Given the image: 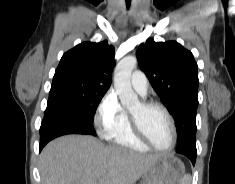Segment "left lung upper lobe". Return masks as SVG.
<instances>
[{
  "instance_id": "left-lung-upper-lobe-1",
  "label": "left lung upper lobe",
  "mask_w": 235,
  "mask_h": 184,
  "mask_svg": "<svg viewBox=\"0 0 235 184\" xmlns=\"http://www.w3.org/2000/svg\"><path fill=\"white\" fill-rule=\"evenodd\" d=\"M141 70L173 115L177 127L176 150L196 151L198 66L193 54L176 41L147 40L137 51Z\"/></svg>"
}]
</instances>
